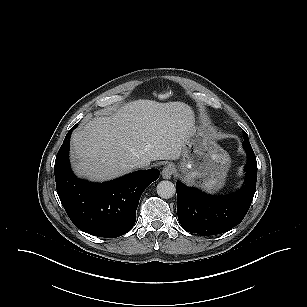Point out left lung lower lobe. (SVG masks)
Returning a JSON list of instances; mask_svg holds the SVG:
<instances>
[{"instance_id":"0a47b994","label":"left lung lower lobe","mask_w":307,"mask_h":307,"mask_svg":"<svg viewBox=\"0 0 307 307\" xmlns=\"http://www.w3.org/2000/svg\"><path fill=\"white\" fill-rule=\"evenodd\" d=\"M244 171L242 188L232 195L211 196L181 182L176 184L177 213L181 226L190 233L209 236L224 233L237 226L245 217L255 194L257 162L252 149Z\"/></svg>"}]
</instances>
